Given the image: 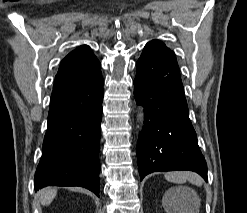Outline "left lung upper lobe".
Instances as JSON below:
<instances>
[{
    "mask_svg": "<svg viewBox=\"0 0 247 213\" xmlns=\"http://www.w3.org/2000/svg\"><path fill=\"white\" fill-rule=\"evenodd\" d=\"M161 53L174 54L161 41H159V40H152L149 43H147L146 46L144 47V50L142 52L141 57H150V56H155V55L161 54Z\"/></svg>",
    "mask_w": 247,
    "mask_h": 213,
    "instance_id": "5c2ea615",
    "label": "left lung upper lobe"
}]
</instances>
